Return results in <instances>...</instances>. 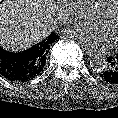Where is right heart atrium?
<instances>
[{
  "mask_svg": "<svg viewBox=\"0 0 118 118\" xmlns=\"http://www.w3.org/2000/svg\"><path fill=\"white\" fill-rule=\"evenodd\" d=\"M77 4L78 0H61L58 12V19L61 23H71L78 18Z\"/></svg>",
  "mask_w": 118,
  "mask_h": 118,
  "instance_id": "obj_1",
  "label": "right heart atrium"
}]
</instances>
